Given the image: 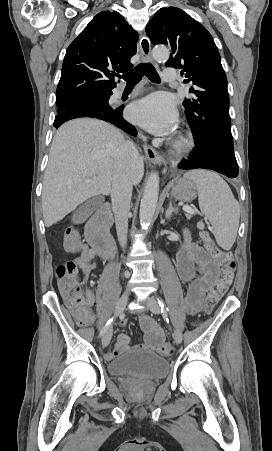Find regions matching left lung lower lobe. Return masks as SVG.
Returning a JSON list of instances; mask_svg holds the SVG:
<instances>
[{
  "instance_id": "obj_1",
  "label": "left lung lower lobe",
  "mask_w": 272,
  "mask_h": 451,
  "mask_svg": "<svg viewBox=\"0 0 272 451\" xmlns=\"http://www.w3.org/2000/svg\"><path fill=\"white\" fill-rule=\"evenodd\" d=\"M194 157L178 164L180 169H211L229 178H235L238 165L234 151L221 144H207L199 146L191 152Z\"/></svg>"
}]
</instances>
